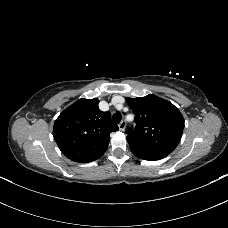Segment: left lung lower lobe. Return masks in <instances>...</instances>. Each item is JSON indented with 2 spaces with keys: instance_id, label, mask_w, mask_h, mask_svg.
Segmentation results:
<instances>
[{
  "instance_id": "0a47b994",
  "label": "left lung lower lobe",
  "mask_w": 228,
  "mask_h": 228,
  "mask_svg": "<svg viewBox=\"0 0 228 228\" xmlns=\"http://www.w3.org/2000/svg\"><path fill=\"white\" fill-rule=\"evenodd\" d=\"M130 149L136 157L144 160H160L167 156L166 154L158 153V152H148V151L136 150L132 148Z\"/></svg>"
}]
</instances>
